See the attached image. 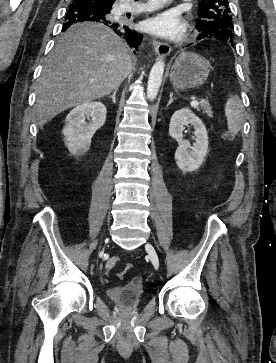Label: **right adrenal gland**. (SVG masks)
Returning a JSON list of instances; mask_svg holds the SVG:
<instances>
[{"mask_svg":"<svg viewBox=\"0 0 276 363\" xmlns=\"http://www.w3.org/2000/svg\"><path fill=\"white\" fill-rule=\"evenodd\" d=\"M117 91H118L117 89L114 90L113 94L111 96H109L110 98H112L113 103H116V94H117Z\"/></svg>","mask_w":276,"mask_h":363,"instance_id":"right-adrenal-gland-1","label":"right adrenal gland"}]
</instances>
